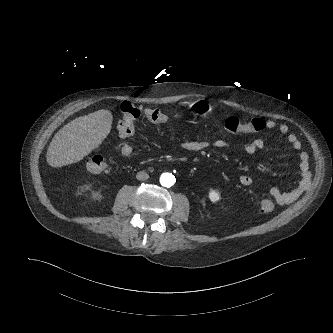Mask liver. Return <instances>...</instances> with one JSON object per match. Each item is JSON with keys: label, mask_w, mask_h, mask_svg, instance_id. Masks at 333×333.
Masks as SVG:
<instances>
[{"label": "liver", "mask_w": 333, "mask_h": 333, "mask_svg": "<svg viewBox=\"0 0 333 333\" xmlns=\"http://www.w3.org/2000/svg\"><path fill=\"white\" fill-rule=\"evenodd\" d=\"M112 122L113 116L107 109L72 120L50 142L47 163L52 167H62L79 162L107 137Z\"/></svg>", "instance_id": "1"}]
</instances>
